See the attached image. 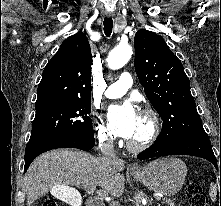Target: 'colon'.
Masks as SVG:
<instances>
[{
    "instance_id": "obj_1",
    "label": "colon",
    "mask_w": 221,
    "mask_h": 206,
    "mask_svg": "<svg viewBox=\"0 0 221 206\" xmlns=\"http://www.w3.org/2000/svg\"><path fill=\"white\" fill-rule=\"evenodd\" d=\"M187 197L189 198L190 206H207L208 198L200 184L196 181H190L186 186ZM42 206H59L52 198L44 200Z\"/></svg>"
}]
</instances>
